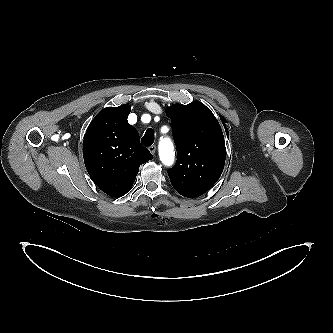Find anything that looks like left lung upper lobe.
Listing matches in <instances>:
<instances>
[{
	"label": "left lung upper lobe",
	"mask_w": 333,
	"mask_h": 333,
	"mask_svg": "<svg viewBox=\"0 0 333 333\" xmlns=\"http://www.w3.org/2000/svg\"><path fill=\"white\" fill-rule=\"evenodd\" d=\"M177 147V162L168 171L174 189L188 198L207 192L220 178L226 159L222 129L202 103L166 109Z\"/></svg>",
	"instance_id": "1"
}]
</instances>
